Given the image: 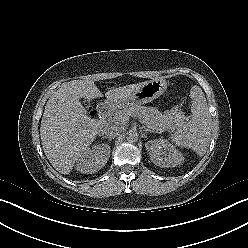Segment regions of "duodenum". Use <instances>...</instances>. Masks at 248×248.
<instances>
[{
  "label": "duodenum",
  "mask_w": 248,
  "mask_h": 248,
  "mask_svg": "<svg viewBox=\"0 0 248 248\" xmlns=\"http://www.w3.org/2000/svg\"><path fill=\"white\" fill-rule=\"evenodd\" d=\"M112 108V105L110 103H103L99 106L98 108V115L99 116H104L105 114H107ZM103 125L100 124V127H102Z\"/></svg>",
  "instance_id": "obj_1"
}]
</instances>
